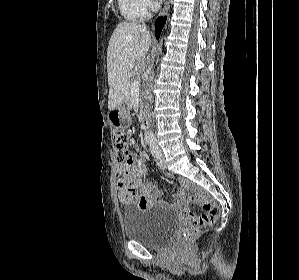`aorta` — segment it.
Wrapping results in <instances>:
<instances>
[{"instance_id": "aorta-1", "label": "aorta", "mask_w": 299, "mask_h": 280, "mask_svg": "<svg viewBox=\"0 0 299 280\" xmlns=\"http://www.w3.org/2000/svg\"><path fill=\"white\" fill-rule=\"evenodd\" d=\"M161 50H162V49H161V45H159V46H158V51L161 52ZM145 138H146V139H152V140H153L155 137H154V134H153L152 132H147L146 135H145Z\"/></svg>"}]
</instances>
